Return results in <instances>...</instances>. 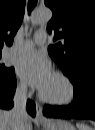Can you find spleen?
Masks as SVG:
<instances>
[{"mask_svg":"<svg viewBox=\"0 0 95 130\" xmlns=\"http://www.w3.org/2000/svg\"><path fill=\"white\" fill-rule=\"evenodd\" d=\"M76 126H77L78 130H93L92 127H90L84 123H77Z\"/></svg>","mask_w":95,"mask_h":130,"instance_id":"spleen-1","label":"spleen"}]
</instances>
